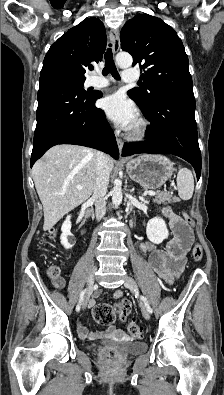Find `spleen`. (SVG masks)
I'll use <instances>...</instances> for the list:
<instances>
[{
    "mask_svg": "<svg viewBox=\"0 0 224 395\" xmlns=\"http://www.w3.org/2000/svg\"><path fill=\"white\" fill-rule=\"evenodd\" d=\"M178 194L182 200H189L194 191V178L192 172L183 167H179L177 174Z\"/></svg>",
    "mask_w": 224,
    "mask_h": 395,
    "instance_id": "spleen-1",
    "label": "spleen"
}]
</instances>
